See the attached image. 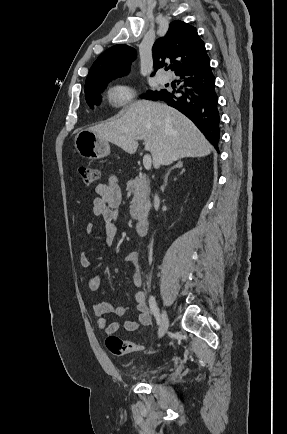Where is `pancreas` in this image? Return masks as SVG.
Returning <instances> with one entry per match:
<instances>
[{
	"label": "pancreas",
	"instance_id": "pancreas-1",
	"mask_svg": "<svg viewBox=\"0 0 287 434\" xmlns=\"http://www.w3.org/2000/svg\"><path fill=\"white\" fill-rule=\"evenodd\" d=\"M126 190L134 195L130 204V215L134 220L147 216L151 204L149 200V183L144 175L127 182Z\"/></svg>",
	"mask_w": 287,
	"mask_h": 434
}]
</instances>
